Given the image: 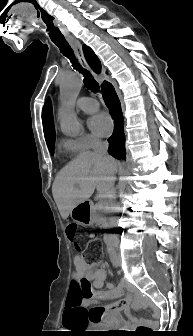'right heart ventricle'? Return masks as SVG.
<instances>
[{
  "label": "right heart ventricle",
  "mask_w": 193,
  "mask_h": 336,
  "mask_svg": "<svg viewBox=\"0 0 193 336\" xmlns=\"http://www.w3.org/2000/svg\"><path fill=\"white\" fill-rule=\"evenodd\" d=\"M64 148L67 150V152H69V153H75L74 151H72V150H70L68 147H67V145H66V143L64 144Z\"/></svg>",
  "instance_id": "e07e8e85"
}]
</instances>
